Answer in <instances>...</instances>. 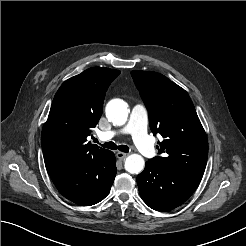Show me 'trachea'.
Here are the masks:
<instances>
[{
    "mask_svg": "<svg viewBox=\"0 0 246 246\" xmlns=\"http://www.w3.org/2000/svg\"><path fill=\"white\" fill-rule=\"evenodd\" d=\"M94 142L99 143L98 140L95 138ZM102 147L112 149V150H120L122 152L128 153L129 152V147L127 145H119L117 146L114 142H106L104 144H101Z\"/></svg>",
    "mask_w": 246,
    "mask_h": 246,
    "instance_id": "1",
    "label": "trachea"
}]
</instances>
